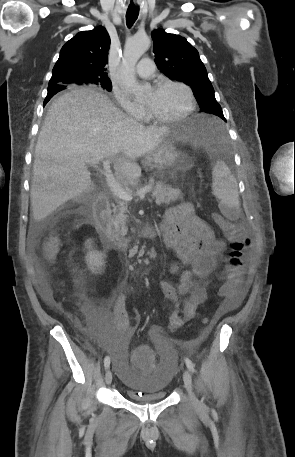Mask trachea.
Segmentation results:
<instances>
[{
  "label": "trachea",
  "instance_id": "1",
  "mask_svg": "<svg viewBox=\"0 0 295 457\" xmlns=\"http://www.w3.org/2000/svg\"><path fill=\"white\" fill-rule=\"evenodd\" d=\"M139 15V9L134 5H130L126 12V24L130 28L133 26Z\"/></svg>",
  "mask_w": 295,
  "mask_h": 457
}]
</instances>
